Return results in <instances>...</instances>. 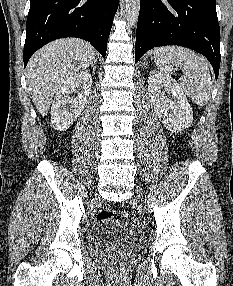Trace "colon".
Here are the masks:
<instances>
[{"mask_svg": "<svg viewBox=\"0 0 233 286\" xmlns=\"http://www.w3.org/2000/svg\"><path fill=\"white\" fill-rule=\"evenodd\" d=\"M117 216V212L110 207H106L98 213L99 220H111L117 218Z\"/></svg>", "mask_w": 233, "mask_h": 286, "instance_id": "5ec220e1", "label": "colon"}]
</instances>
